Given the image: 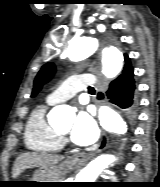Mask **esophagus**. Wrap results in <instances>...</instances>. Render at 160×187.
I'll return each instance as SVG.
<instances>
[{"instance_id": "esophagus-1", "label": "esophagus", "mask_w": 160, "mask_h": 187, "mask_svg": "<svg viewBox=\"0 0 160 187\" xmlns=\"http://www.w3.org/2000/svg\"><path fill=\"white\" fill-rule=\"evenodd\" d=\"M107 145H108V139L103 136L98 145L93 146L88 152H83L74 155L72 161L78 164H84L87 161H89L95 154L106 149Z\"/></svg>"}]
</instances>
